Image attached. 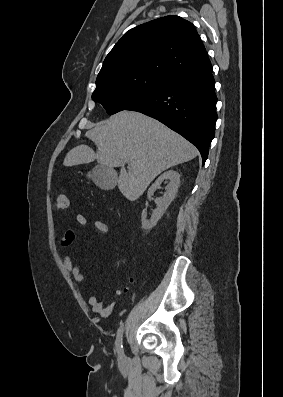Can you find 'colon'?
<instances>
[{"label":"colon","instance_id":"5ec220e1","mask_svg":"<svg viewBox=\"0 0 283 397\" xmlns=\"http://www.w3.org/2000/svg\"><path fill=\"white\" fill-rule=\"evenodd\" d=\"M55 208L58 210H65L69 206V199L64 193H58L54 201Z\"/></svg>","mask_w":283,"mask_h":397}]
</instances>
